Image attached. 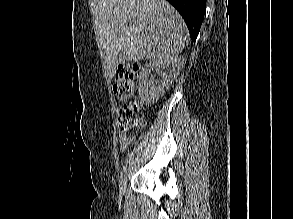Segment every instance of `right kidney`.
I'll return each mask as SVG.
<instances>
[{"label":"right kidney","instance_id":"right-kidney-1","mask_svg":"<svg viewBox=\"0 0 293 219\" xmlns=\"http://www.w3.org/2000/svg\"><path fill=\"white\" fill-rule=\"evenodd\" d=\"M184 62L183 56L172 55L154 58L146 63L139 76L138 92L140 100L145 104H152L159 100L178 76ZM153 70L160 77L156 81L151 74Z\"/></svg>","mask_w":293,"mask_h":219}]
</instances>
